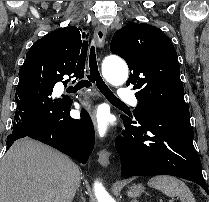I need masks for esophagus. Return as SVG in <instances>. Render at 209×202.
<instances>
[{"label":"esophagus","mask_w":209,"mask_h":202,"mask_svg":"<svg viewBox=\"0 0 209 202\" xmlns=\"http://www.w3.org/2000/svg\"><path fill=\"white\" fill-rule=\"evenodd\" d=\"M106 34L107 29L99 24L95 29V39L96 45L100 49L103 48L105 44ZM98 161L100 165H102L103 167H107L110 163V152L105 149L101 150L98 154Z\"/></svg>","instance_id":"34e87169"}]
</instances>
